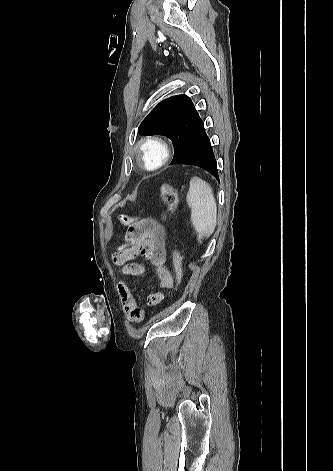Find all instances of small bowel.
Listing matches in <instances>:
<instances>
[{"label":"small bowel","mask_w":333,"mask_h":471,"mask_svg":"<svg viewBox=\"0 0 333 471\" xmlns=\"http://www.w3.org/2000/svg\"><path fill=\"white\" fill-rule=\"evenodd\" d=\"M127 221V220H125ZM166 233L164 228L155 220L149 218L137 219L129 223L126 242L116 248L112 254V262L120 266L122 276H145L147 268L141 263L130 262L142 255L148 265L155 271L161 289L173 287L174 279L165 265ZM116 292L121 300L122 309L127 319L132 323H140L145 317V311L138 304L130 290L123 282L116 283ZM165 299L163 292H152L147 298V305L154 307Z\"/></svg>","instance_id":"obj_1"}]
</instances>
